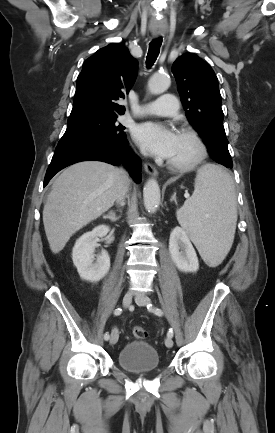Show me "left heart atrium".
Listing matches in <instances>:
<instances>
[{"mask_svg": "<svg viewBox=\"0 0 275 433\" xmlns=\"http://www.w3.org/2000/svg\"><path fill=\"white\" fill-rule=\"evenodd\" d=\"M133 137L149 153L168 159L174 150L177 134L161 123L145 122L134 128Z\"/></svg>", "mask_w": 275, "mask_h": 433, "instance_id": "39dd6f15", "label": "left heart atrium"}]
</instances>
